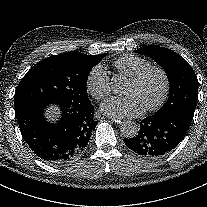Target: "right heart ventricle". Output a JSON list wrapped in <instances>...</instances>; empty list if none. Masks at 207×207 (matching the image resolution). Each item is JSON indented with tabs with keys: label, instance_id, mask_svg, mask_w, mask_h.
<instances>
[{
	"label": "right heart ventricle",
	"instance_id": "e07e8e85",
	"mask_svg": "<svg viewBox=\"0 0 207 207\" xmlns=\"http://www.w3.org/2000/svg\"><path fill=\"white\" fill-rule=\"evenodd\" d=\"M114 66L122 76L130 79L151 66V63L135 55H124L115 61Z\"/></svg>",
	"mask_w": 207,
	"mask_h": 207
}]
</instances>
